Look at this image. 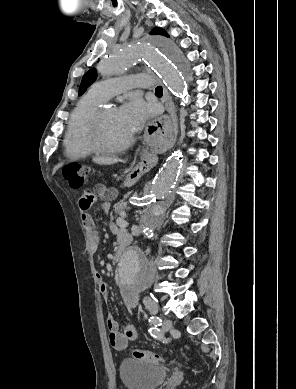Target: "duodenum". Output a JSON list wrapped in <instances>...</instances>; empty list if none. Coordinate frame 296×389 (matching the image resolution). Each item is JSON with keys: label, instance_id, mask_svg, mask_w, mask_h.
<instances>
[{"label": "duodenum", "instance_id": "obj_1", "mask_svg": "<svg viewBox=\"0 0 296 389\" xmlns=\"http://www.w3.org/2000/svg\"><path fill=\"white\" fill-rule=\"evenodd\" d=\"M119 245L116 249V251L114 252V255H113V260L115 262H118L121 258H122V255L125 251V249L127 248V246L130 244L131 242V238L130 236L128 235H125V236H121L119 239Z\"/></svg>", "mask_w": 296, "mask_h": 389}]
</instances>
